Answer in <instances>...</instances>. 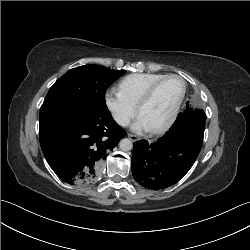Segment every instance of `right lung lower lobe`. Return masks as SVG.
I'll return each mask as SVG.
<instances>
[{"instance_id": "1", "label": "right lung lower lobe", "mask_w": 250, "mask_h": 250, "mask_svg": "<svg viewBox=\"0 0 250 250\" xmlns=\"http://www.w3.org/2000/svg\"><path fill=\"white\" fill-rule=\"evenodd\" d=\"M107 109L73 106L40 119L42 152L53 171L71 185H88L109 151L126 136Z\"/></svg>"}]
</instances>
